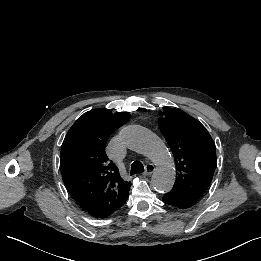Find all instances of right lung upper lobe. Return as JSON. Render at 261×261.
<instances>
[{
    "mask_svg": "<svg viewBox=\"0 0 261 261\" xmlns=\"http://www.w3.org/2000/svg\"><path fill=\"white\" fill-rule=\"evenodd\" d=\"M130 118L127 112L112 114L95 109L80 116L65 136L60 166L71 196L96 218H105L128 198L130 182L124 181L113 163H108V137Z\"/></svg>",
    "mask_w": 261,
    "mask_h": 261,
    "instance_id": "obj_1",
    "label": "right lung upper lobe"
}]
</instances>
